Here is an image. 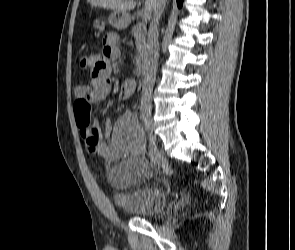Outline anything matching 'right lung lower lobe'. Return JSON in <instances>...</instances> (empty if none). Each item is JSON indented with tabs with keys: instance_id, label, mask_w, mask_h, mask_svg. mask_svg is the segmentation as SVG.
I'll return each instance as SVG.
<instances>
[{
	"instance_id": "98d812e1",
	"label": "right lung lower lobe",
	"mask_w": 295,
	"mask_h": 250,
	"mask_svg": "<svg viewBox=\"0 0 295 250\" xmlns=\"http://www.w3.org/2000/svg\"><path fill=\"white\" fill-rule=\"evenodd\" d=\"M182 2H183V0H177L178 7L182 6Z\"/></svg>"
}]
</instances>
